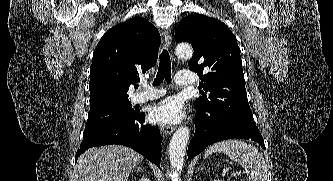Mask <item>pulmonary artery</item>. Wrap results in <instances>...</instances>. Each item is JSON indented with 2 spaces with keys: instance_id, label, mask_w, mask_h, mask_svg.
<instances>
[{
  "instance_id": "1",
  "label": "pulmonary artery",
  "mask_w": 333,
  "mask_h": 181,
  "mask_svg": "<svg viewBox=\"0 0 333 181\" xmlns=\"http://www.w3.org/2000/svg\"><path fill=\"white\" fill-rule=\"evenodd\" d=\"M179 86H190L195 83V79L190 72H178L175 77ZM146 91L136 93L132 100L134 103H142L159 98L165 94V90L145 86Z\"/></svg>"
}]
</instances>
